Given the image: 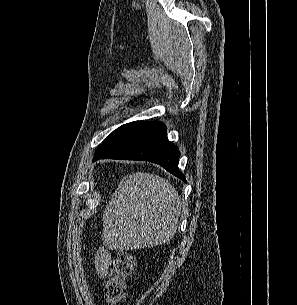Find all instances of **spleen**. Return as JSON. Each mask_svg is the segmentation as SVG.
<instances>
[{"label":"spleen","instance_id":"3e777b00","mask_svg":"<svg viewBox=\"0 0 297 305\" xmlns=\"http://www.w3.org/2000/svg\"><path fill=\"white\" fill-rule=\"evenodd\" d=\"M180 214V197L168 180L131 173L106 206L103 233L118 249L150 247L173 238Z\"/></svg>","mask_w":297,"mask_h":305}]
</instances>
